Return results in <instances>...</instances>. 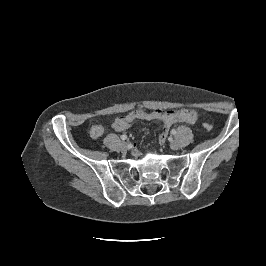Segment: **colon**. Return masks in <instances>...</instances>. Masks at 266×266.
Here are the masks:
<instances>
[{
	"instance_id": "1",
	"label": "colon",
	"mask_w": 266,
	"mask_h": 266,
	"mask_svg": "<svg viewBox=\"0 0 266 266\" xmlns=\"http://www.w3.org/2000/svg\"><path fill=\"white\" fill-rule=\"evenodd\" d=\"M142 111H144V110H142ZM159 111H160V110H159ZM145 112H147V111H145ZM203 127H204V129L207 130V131H210V130H212V128H213V126H212L211 124H209V123H203Z\"/></svg>"
}]
</instances>
